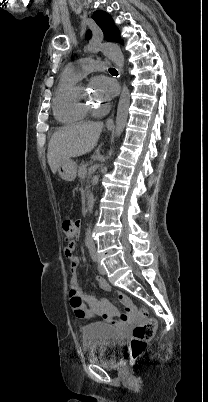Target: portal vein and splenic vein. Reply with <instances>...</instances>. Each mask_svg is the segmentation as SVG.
Wrapping results in <instances>:
<instances>
[{"mask_svg": "<svg viewBox=\"0 0 208 402\" xmlns=\"http://www.w3.org/2000/svg\"><path fill=\"white\" fill-rule=\"evenodd\" d=\"M85 166H87V163H84V165H81V166H80V169H81V170H84V169H85Z\"/></svg>", "mask_w": 208, "mask_h": 402, "instance_id": "portal-vein-and-splenic-vein-1", "label": "portal vein and splenic vein"}]
</instances>
